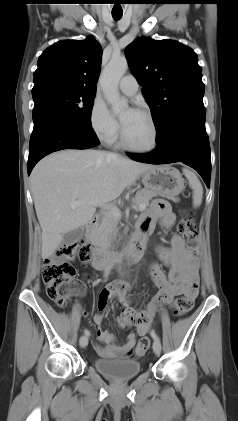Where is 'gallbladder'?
<instances>
[{"label":"gallbladder","mask_w":238,"mask_h":421,"mask_svg":"<svg viewBox=\"0 0 238 421\" xmlns=\"http://www.w3.org/2000/svg\"><path fill=\"white\" fill-rule=\"evenodd\" d=\"M82 234H83V229L80 227L66 233L63 237V240L67 245H71L75 243L82 236Z\"/></svg>","instance_id":"obj_1"}]
</instances>
